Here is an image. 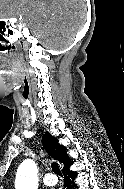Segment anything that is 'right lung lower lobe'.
<instances>
[{"label":"right lung lower lobe","instance_id":"right-lung-lower-lobe-1","mask_svg":"<svg viewBox=\"0 0 124 189\" xmlns=\"http://www.w3.org/2000/svg\"><path fill=\"white\" fill-rule=\"evenodd\" d=\"M70 165L63 169L64 173V189H75L76 185L74 184V178L76 176V173L69 170Z\"/></svg>","mask_w":124,"mask_h":189}]
</instances>
